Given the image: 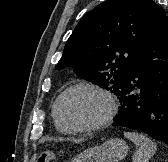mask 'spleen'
<instances>
[{
	"mask_svg": "<svg viewBox=\"0 0 168 162\" xmlns=\"http://www.w3.org/2000/svg\"><path fill=\"white\" fill-rule=\"evenodd\" d=\"M124 136L138 147L133 155V162H149V159L156 153L157 146L145 135L137 132H124Z\"/></svg>",
	"mask_w": 168,
	"mask_h": 162,
	"instance_id": "3e777b00",
	"label": "spleen"
}]
</instances>
